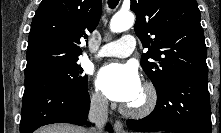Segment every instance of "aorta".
Segmentation results:
<instances>
[{
  "mask_svg": "<svg viewBox=\"0 0 221 133\" xmlns=\"http://www.w3.org/2000/svg\"><path fill=\"white\" fill-rule=\"evenodd\" d=\"M135 16L131 12H118L110 21V30L119 33L128 30L134 24Z\"/></svg>",
  "mask_w": 221,
  "mask_h": 133,
  "instance_id": "1",
  "label": "aorta"
}]
</instances>
